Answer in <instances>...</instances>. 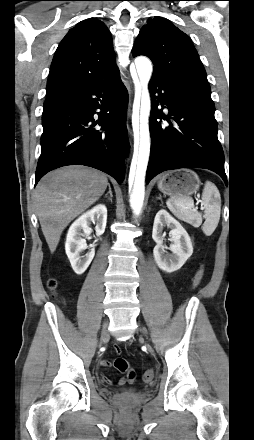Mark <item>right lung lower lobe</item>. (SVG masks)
<instances>
[{
    "label": "right lung lower lobe",
    "instance_id": "98d812e1",
    "mask_svg": "<svg viewBox=\"0 0 254 440\" xmlns=\"http://www.w3.org/2000/svg\"><path fill=\"white\" fill-rule=\"evenodd\" d=\"M127 104V90L118 78L48 94L35 185L47 172L67 165L90 166L122 183L128 150Z\"/></svg>",
    "mask_w": 254,
    "mask_h": 440
}]
</instances>
